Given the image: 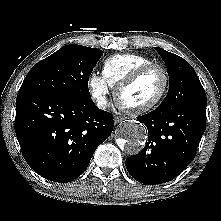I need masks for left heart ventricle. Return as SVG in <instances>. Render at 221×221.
Listing matches in <instances>:
<instances>
[{
  "instance_id": "b2bd125f",
  "label": "left heart ventricle",
  "mask_w": 221,
  "mask_h": 221,
  "mask_svg": "<svg viewBox=\"0 0 221 221\" xmlns=\"http://www.w3.org/2000/svg\"><path fill=\"white\" fill-rule=\"evenodd\" d=\"M164 84L160 69H152L144 74L135 84L128 87L121 95V100L129 106H138L152 101Z\"/></svg>"
}]
</instances>
